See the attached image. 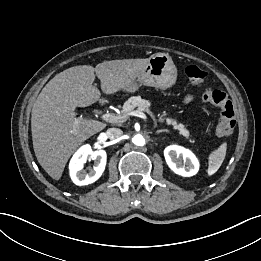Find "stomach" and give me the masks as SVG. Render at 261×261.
Instances as JSON below:
<instances>
[{
  "label": "stomach",
  "instance_id": "0dacf381",
  "mask_svg": "<svg viewBox=\"0 0 261 261\" xmlns=\"http://www.w3.org/2000/svg\"><path fill=\"white\" fill-rule=\"evenodd\" d=\"M176 80L177 69L172 58L165 53H155L149 58L148 65L137 80L129 84L125 90L135 92L141 85L166 90L171 88Z\"/></svg>",
  "mask_w": 261,
  "mask_h": 261
}]
</instances>
